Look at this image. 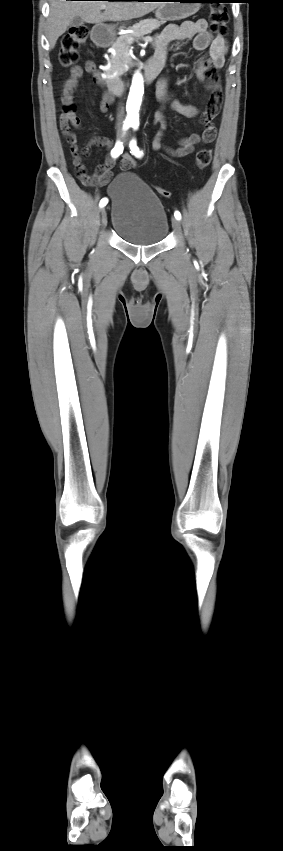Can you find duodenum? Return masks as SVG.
Wrapping results in <instances>:
<instances>
[{
	"mask_svg": "<svg viewBox=\"0 0 283 851\" xmlns=\"http://www.w3.org/2000/svg\"><path fill=\"white\" fill-rule=\"evenodd\" d=\"M94 41L97 45L101 47H106L109 45L111 40L107 31H105L104 29H97L94 33ZM163 65L164 63L159 59L152 58L149 61L146 70V79L148 82L153 81L157 77V75L162 70ZM109 81L111 83V86L109 89H107L108 92L111 95H121L124 91V82L119 78H113Z\"/></svg>",
	"mask_w": 283,
	"mask_h": 851,
	"instance_id": "1",
	"label": "duodenum"
}]
</instances>
